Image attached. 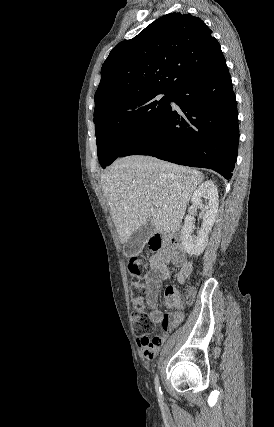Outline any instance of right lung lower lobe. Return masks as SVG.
<instances>
[{"mask_svg": "<svg viewBox=\"0 0 274 427\" xmlns=\"http://www.w3.org/2000/svg\"><path fill=\"white\" fill-rule=\"evenodd\" d=\"M171 107L144 137L119 157L152 155L180 165L203 167L232 177L239 128L235 94L227 66L187 83L172 93Z\"/></svg>", "mask_w": 274, "mask_h": 427, "instance_id": "98d812e1", "label": "right lung lower lobe"}]
</instances>
